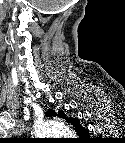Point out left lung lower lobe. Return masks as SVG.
I'll list each match as a JSON object with an SVG mask.
<instances>
[{
  "label": "left lung lower lobe",
  "instance_id": "0a47b994",
  "mask_svg": "<svg viewBox=\"0 0 125 143\" xmlns=\"http://www.w3.org/2000/svg\"><path fill=\"white\" fill-rule=\"evenodd\" d=\"M68 122H70L73 126L77 123H79V120L78 119H75V118H66L64 117ZM88 130H86L85 132H83L81 135H79L80 137H84V138H87L88 137Z\"/></svg>",
  "mask_w": 125,
  "mask_h": 143
}]
</instances>
